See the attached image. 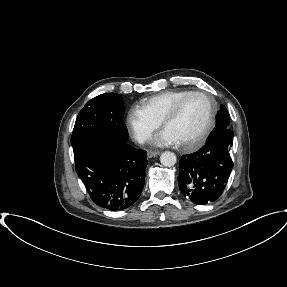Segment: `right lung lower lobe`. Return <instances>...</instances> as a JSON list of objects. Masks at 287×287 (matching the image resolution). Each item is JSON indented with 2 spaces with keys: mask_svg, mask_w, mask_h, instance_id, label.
Wrapping results in <instances>:
<instances>
[{
  "mask_svg": "<svg viewBox=\"0 0 287 287\" xmlns=\"http://www.w3.org/2000/svg\"><path fill=\"white\" fill-rule=\"evenodd\" d=\"M75 169L90 197L110 211L132 206L144 187L147 152L127 141L97 139L74 152Z\"/></svg>",
  "mask_w": 287,
  "mask_h": 287,
  "instance_id": "right-lung-lower-lobe-1",
  "label": "right lung lower lobe"
}]
</instances>
